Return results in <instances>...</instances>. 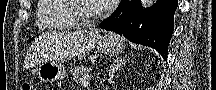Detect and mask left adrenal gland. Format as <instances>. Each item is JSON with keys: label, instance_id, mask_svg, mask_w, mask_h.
Segmentation results:
<instances>
[{"label": "left adrenal gland", "instance_id": "obj_1", "mask_svg": "<svg viewBox=\"0 0 216 90\" xmlns=\"http://www.w3.org/2000/svg\"><path fill=\"white\" fill-rule=\"evenodd\" d=\"M127 60H129V58H122V56H118V58H116V60H114L113 64H111L110 66V70H109V80H108V84H112V78L114 76V74H116L117 70H119V68H122V66H125Z\"/></svg>", "mask_w": 216, "mask_h": 90}]
</instances>
